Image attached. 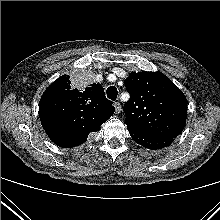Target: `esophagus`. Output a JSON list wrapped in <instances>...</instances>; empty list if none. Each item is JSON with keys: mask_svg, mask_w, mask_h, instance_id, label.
<instances>
[{"mask_svg": "<svg viewBox=\"0 0 220 220\" xmlns=\"http://www.w3.org/2000/svg\"><path fill=\"white\" fill-rule=\"evenodd\" d=\"M115 113L119 114L121 112V104L119 102L114 103Z\"/></svg>", "mask_w": 220, "mask_h": 220, "instance_id": "esophagus-1", "label": "esophagus"}]
</instances>
